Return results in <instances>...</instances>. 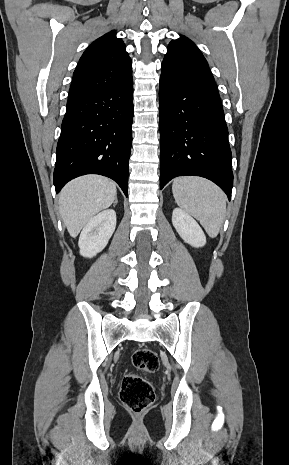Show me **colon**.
<instances>
[{
  "mask_svg": "<svg viewBox=\"0 0 289 465\" xmlns=\"http://www.w3.org/2000/svg\"><path fill=\"white\" fill-rule=\"evenodd\" d=\"M132 363L137 370L143 373H155L159 369L157 354L147 347L137 349L133 353ZM120 398L130 411L141 413L153 403L155 392L147 379L129 372L123 377Z\"/></svg>",
  "mask_w": 289,
  "mask_h": 465,
  "instance_id": "5ec220e1",
  "label": "colon"
}]
</instances>
